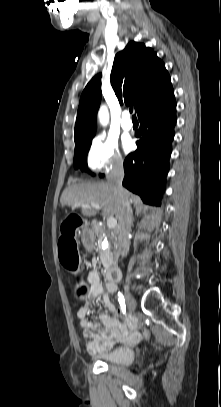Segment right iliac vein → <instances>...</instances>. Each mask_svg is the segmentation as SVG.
Returning a JSON list of instances; mask_svg holds the SVG:
<instances>
[{"instance_id":"63e3f726","label":"right iliac vein","mask_w":221,"mask_h":407,"mask_svg":"<svg viewBox=\"0 0 221 407\" xmlns=\"http://www.w3.org/2000/svg\"><path fill=\"white\" fill-rule=\"evenodd\" d=\"M125 299H126V304L127 307L130 311H133L136 307V301L135 299L132 297V295L130 294L129 291H125Z\"/></svg>"}]
</instances>
